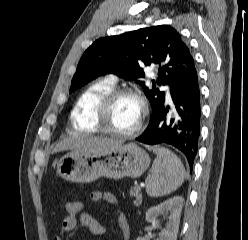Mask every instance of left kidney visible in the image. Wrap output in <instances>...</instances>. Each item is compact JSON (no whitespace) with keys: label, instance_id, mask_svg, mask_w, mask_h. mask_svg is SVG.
<instances>
[{"label":"left kidney","instance_id":"obj_1","mask_svg":"<svg viewBox=\"0 0 248 240\" xmlns=\"http://www.w3.org/2000/svg\"><path fill=\"white\" fill-rule=\"evenodd\" d=\"M184 199L180 196H175L163 203L151 207L146 212L147 222H156L160 215L168 216V221L159 234L158 240H176L179 230L180 215L183 208ZM137 240H145L143 237H138Z\"/></svg>","mask_w":248,"mask_h":240}]
</instances>
